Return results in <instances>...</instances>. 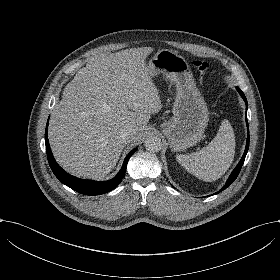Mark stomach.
Masks as SVG:
<instances>
[{
	"label": "stomach",
	"mask_w": 280,
	"mask_h": 280,
	"mask_svg": "<svg viewBox=\"0 0 280 280\" xmlns=\"http://www.w3.org/2000/svg\"><path fill=\"white\" fill-rule=\"evenodd\" d=\"M149 74H162L176 87L173 117L161 125L172 151L180 152L196 145L209 121L207 105L196 87L187 61L175 51L159 50L148 63Z\"/></svg>",
	"instance_id": "stomach-1"
}]
</instances>
